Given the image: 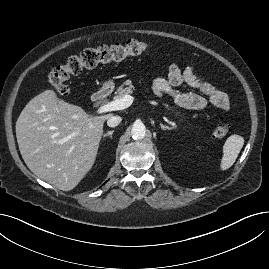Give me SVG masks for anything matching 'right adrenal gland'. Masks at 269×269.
<instances>
[{"instance_id": "1", "label": "right adrenal gland", "mask_w": 269, "mask_h": 269, "mask_svg": "<svg viewBox=\"0 0 269 269\" xmlns=\"http://www.w3.org/2000/svg\"><path fill=\"white\" fill-rule=\"evenodd\" d=\"M113 133H114V130L108 131L106 134H104V138H105V137H110V138H112Z\"/></svg>"}]
</instances>
